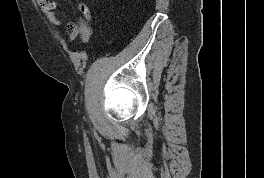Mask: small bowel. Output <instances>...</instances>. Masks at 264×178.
Segmentation results:
<instances>
[{
    "mask_svg": "<svg viewBox=\"0 0 264 178\" xmlns=\"http://www.w3.org/2000/svg\"><path fill=\"white\" fill-rule=\"evenodd\" d=\"M38 5L40 6L43 13L46 15L49 22L55 26L61 25V20L57 14L58 4L53 0H37ZM81 25V20L78 24L70 22L67 25L68 33L76 32L79 30Z\"/></svg>",
    "mask_w": 264,
    "mask_h": 178,
    "instance_id": "small-bowel-1",
    "label": "small bowel"
}]
</instances>
